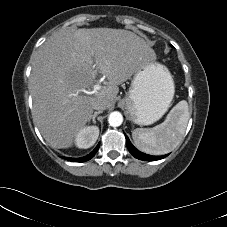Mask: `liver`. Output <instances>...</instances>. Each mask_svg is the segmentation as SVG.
<instances>
[{
  "label": "liver",
  "mask_w": 227,
  "mask_h": 227,
  "mask_svg": "<svg viewBox=\"0 0 227 227\" xmlns=\"http://www.w3.org/2000/svg\"><path fill=\"white\" fill-rule=\"evenodd\" d=\"M156 54L133 32L92 28L61 30L35 54L30 76L33 118L53 148L72 147L77 133L91 120L93 104L110 108L118 85L130 79ZM97 70L108 80L95 83Z\"/></svg>",
  "instance_id": "liver-1"
}]
</instances>
